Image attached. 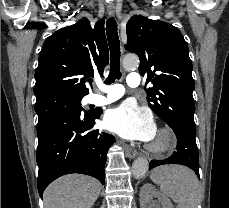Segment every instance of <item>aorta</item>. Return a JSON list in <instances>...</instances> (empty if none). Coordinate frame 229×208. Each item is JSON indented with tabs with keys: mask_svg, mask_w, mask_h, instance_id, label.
<instances>
[{
	"mask_svg": "<svg viewBox=\"0 0 229 208\" xmlns=\"http://www.w3.org/2000/svg\"><path fill=\"white\" fill-rule=\"evenodd\" d=\"M139 66V59L136 55H126L123 59V67L126 70H133ZM149 163L145 158H137L132 164V175L139 179L146 175Z\"/></svg>",
	"mask_w": 229,
	"mask_h": 208,
	"instance_id": "obj_1",
	"label": "aorta"
}]
</instances>
